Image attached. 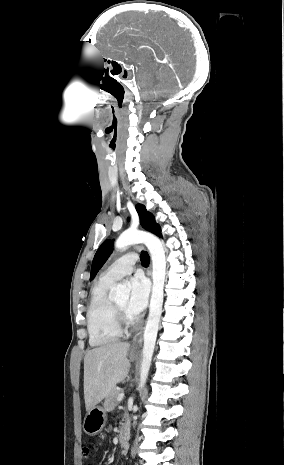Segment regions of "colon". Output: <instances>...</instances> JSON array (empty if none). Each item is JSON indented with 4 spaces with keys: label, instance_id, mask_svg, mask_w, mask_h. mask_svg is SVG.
<instances>
[{
    "label": "colon",
    "instance_id": "obj_1",
    "mask_svg": "<svg viewBox=\"0 0 284 465\" xmlns=\"http://www.w3.org/2000/svg\"><path fill=\"white\" fill-rule=\"evenodd\" d=\"M82 455H83V457H87V455H88V447H86V446L82 447Z\"/></svg>",
    "mask_w": 284,
    "mask_h": 465
}]
</instances>
